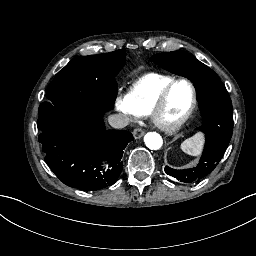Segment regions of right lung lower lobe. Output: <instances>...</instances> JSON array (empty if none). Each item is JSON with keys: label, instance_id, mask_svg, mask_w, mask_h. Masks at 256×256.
Segmentation results:
<instances>
[{"label": "right lung lower lobe", "instance_id": "98d812e1", "mask_svg": "<svg viewBox=\"0 0 256 256\" xmlns=\"http://www.w3.org/2000/svg\"><path fill=\"white\" fill-rule=\"evenodd\" d=\"M37 125L48 166L64 184L85 191L115 183L123 150L134 139L128 131L106 130L103 112L96 109L69 110Z\"/></svg>", "mask_w": 256, "mask_h": 256}]
</instances>
